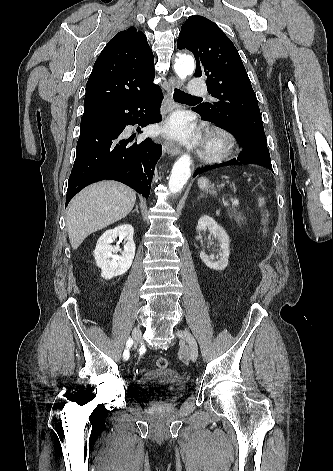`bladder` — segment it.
<instances>
[{"label": "bladder", "instance_id": "obj_1", "mask_svg": "<svg viewBox=\"0 0 333 471\" xmlns=\"http://www.w3.org/2000/svg\"><path fill=\"white\" fill-rule=\"evenodd\" d=\"M134 389L141 399L170 403L185 392L186 380L174 369L154 368L137 379Z\"/></svg>", "mask_w": 333, "mask_h": 471}]
</instances>
